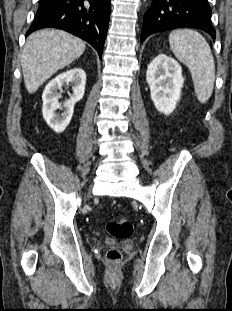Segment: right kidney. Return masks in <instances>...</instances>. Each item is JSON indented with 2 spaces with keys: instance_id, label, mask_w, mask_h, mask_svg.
<instances>
[{
  "instance_id": "ca27d5eb",
  "label": "right kidney",
  "mask_w": 232,
  "mask_h": 311,
  "mask_svg": "<svg viewBox=\"0 0 232 311\" xmlns=\"http://www.w3.org/2000/svg\"><path fill=\"white\" fill-rule=\"evenodd\" d=\"M72 84V94L70 98L63 104V113L58 115L56 110L62 109L59 103V93L62 86ZM86 84V74L81 68H74L64 73L59 74L52 79L45 87L42 94L43 100V117L47 124L56 132H63L69 125L73 112L74 105L83 98Z\"/></svg>"
}]
</instances>
